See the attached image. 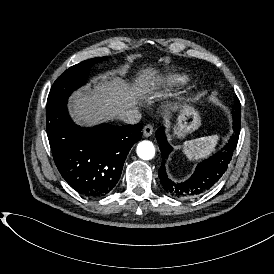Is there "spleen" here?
<instances>
[{"mask_svg":"<svg viewBox=\"0 0 274 274\" xmlns=\"http://www.w3.org/2000/svg\"><path fill=\"white\" fill-rule=\"evenodd\" d=\"M217 137H199L185 142V151L190 158H199L208 154L215 147Z\"/></svg>","mask_w":274,"mask_h":274,"instance_id":"1","label":"spleen"}]
</instances>
